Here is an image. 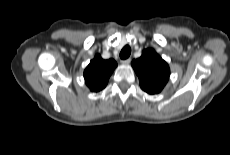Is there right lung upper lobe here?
<instances>
[{"instance_id":"obj_1","label":"right lung upper lobe","mask_w":230,"mask_h":155,"mask_svg":"<svg viewBox=\"0 0 230 155\" xmlns=\"http://www.w3.org/2000/svg\"><path fill=\"white\" fill-rule=\"evenodd\" d=\"M116 66L115 60H104L99 54L95 55L84 71L86 85L93 92L102 90Z\"/></svg>"}]
</instances>
